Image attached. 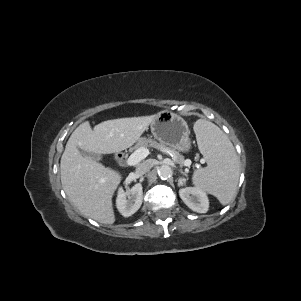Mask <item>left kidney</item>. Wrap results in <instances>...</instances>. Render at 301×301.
I'll use <instances>...</instances> for the list:
<instances>
[{
    "label": "left kidney",
    "mask_w": 301,
    "mask_h": 301,
    "mask_svg": "<svg viewBox=\"0 0 301 301\" xmlns=\"http://www.w3.org/2000/svg\"><path fill=\"white\" fill-rule=\"evenodd\" d=\"M180 198L194 212L206 213L209 200L206 193L198 187H186L179 190Z\"/></svg>",
    "instance_id": "1"
}]
</instances>
